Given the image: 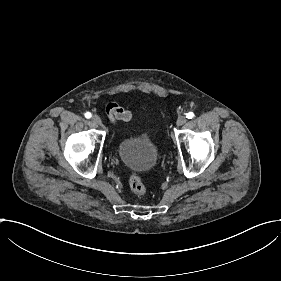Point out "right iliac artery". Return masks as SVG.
<instances>
[{
  "mask_svg": "<svg viewBox=\"0 0 281 281\" xmlns=\"http://www.w3.org/2000/svg\"><path fill=\"white\" fill-rule=\"evenodd\" d=\"M91 116H92V115H91L90 112H86V113H85V117H86L87 119L91 118Z\"/></svg>",
  "mask_w": 281,
  "mask_h": 281,
  "instance_id": "right-iliac-artery-1",
  "label": "right iliac artery"
}]
</instances>
